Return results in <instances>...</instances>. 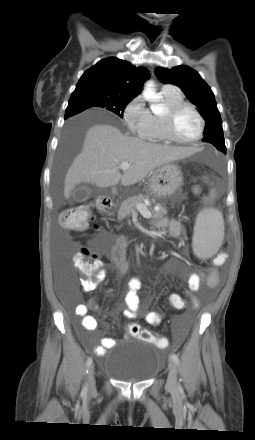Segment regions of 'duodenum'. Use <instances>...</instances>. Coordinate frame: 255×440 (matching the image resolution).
Wrapping results in <instances>:
<instances>
[{
	"label": "duodenum",
	"mask_w": 255,
	"mask_h": 440,
	"mask_svg": "<svg viewBox=\"0 0 255 440\" xmlns=\"http://www.w3.org/2000/svg\"><path fill=\"white\" fill-rule=\"evenodd\" d=\"M97 206L101 212H109L112 209V202L109 199H99L97 202Z\"/></svg>",
	"instance_id": "duodenum-1"
}]
</instances>
